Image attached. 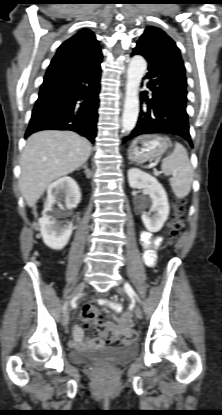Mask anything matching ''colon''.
<instances>
[{
	"label": "colon",
	"instance_id": "1",
	"mask_svg": "<svg viewBox=\"0 0 222 415\" xmlns=\"http://www.w3.org/2000/svg\"><path fill=\"white\" fill-rule=\"evenodd\" d=\"M185 201L180 200L176 205V214L170 223L169 242L174 243L183 228V214ZM82 320L85 326L94 334H103L114 345L136 341L140 332L138 330H124L120 326L105 320L102 313L95 307H85L82 310Z\"/></svg>",
	"mask_w": 222,
	"mask_h": 415
}]
</instances>
